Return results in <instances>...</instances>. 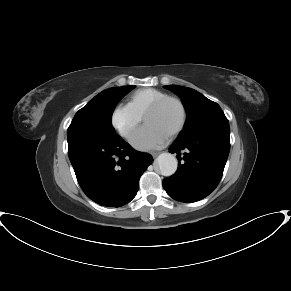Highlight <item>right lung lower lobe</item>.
I'll use <instances>...</instances> for the list:
<instances>
[{
    "instance_id": "right-lung-lower-lobe-1",
    "label": "right lung lower lobe",
    "mask_w": 291,
    "mask_h": 291,
    "mask_svg": "<svg viewBox=\"0 0 291 291\" xmlns=\"http://www.w3.org/2000/svg\"><path fill=\"white\" fill-rule=\"evenodd\" d=\"M68 156L83 192L103 206L120 207L139 189V179L153 162L120 137L103 139L87 135L67 138Z\"/></svg>"
}]
</instances>
